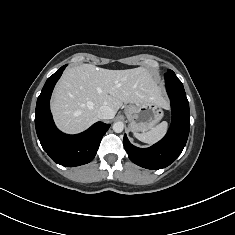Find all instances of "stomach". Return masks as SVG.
I'll use <instances>...</instances> for the list:
<instances>
[{
  "mask_svg": "<svg viewBox=\"0 0 235 235\" xmlns=\"http://www.w3.org/2000/svg\"><path fill=\"white\" fill-rule=\"evenodd\" d=\"M124 112L133 133H145L164 116L163 107L154 101L126 105Z\"/></svg>",
  "mask_w": 235,
  "mask_h": 235,
  "instance_id": "stomach-1",
  "label": "stomach"
}]
</instances>
